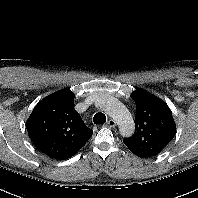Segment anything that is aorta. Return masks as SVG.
<instances>
[{
  "mask_svg": "<svg viewBox=\"0 0 198 198\" xmlns=\"http://www.w3.org/2000/svg\"><path fill=\"white\" fill-rule=\"evenodd\" d=\"M100 107L111 116L119 126L120 134L129 137L134 133V120L129 110L113 97L103 96Z\"/></svg>",
  "mask_w": 198,
  "mask_h": 198,
  "instance_id": "obj_1",
  "label": "aorta"
}]
</instances>
